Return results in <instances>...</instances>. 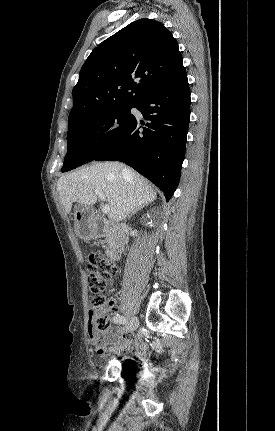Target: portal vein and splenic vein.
<instances>
[{"instance_id": "1", "label": "portal vein and splenic vein", "mask_w": 275, "mask_h": 431, "mask_svg": "<svg viewBox=\"0 0 275 431\" xmlns=\"http://www.w3.org/2000/svg\"><path fill=\"white\" fill-rule=\"evenodd\" d=\"M94 193L101 199V200H105V195L102 191L100 190H95ZM102 212L103 213H109L110 212V206L109 205H103L102 206Z\"/></svg>"}]
</instances>
